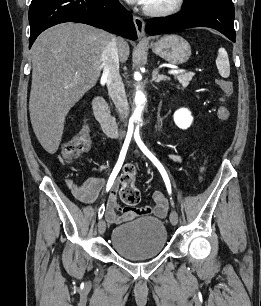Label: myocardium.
<instances>
[{
	"label": "myocardium",
	"instance_id": "f54148a6",
	"mask_svg": "<svg viewBox=\"0 0 261 306\" xmlns=\"http://www.w3.org/2000/svg\"><path fill=\"white\" fill-rule=\"evenodd\" d=\"M185 0H173L168 6L153 8L149 6H144V12L151 16L163 17L169 16L177 13L181 10L184 5Z\"/></svg>",
	"mask_w": 261,
	"mask_h": 306
}]
</instances>
